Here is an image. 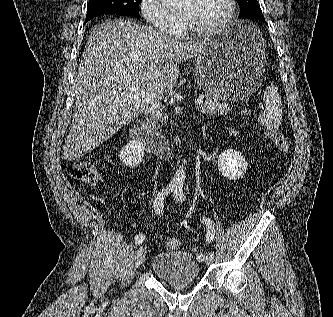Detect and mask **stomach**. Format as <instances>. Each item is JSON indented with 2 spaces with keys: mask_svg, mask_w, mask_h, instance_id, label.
<instances>
[{
  "mask_svg": "<svg viewBox=\"0 0 333 317\" xmlns=\"http://www.w3.org/2000/svg\"><path fill=\"white\" fill-rule=\"evenodd\" d=\"M265 47L256 24L233 23L210 35L196 60L198 84L228 102L262 95Z\"/></svg>",
  "mask_w": 333,
  "mask_h": 317,
  "instance_id": "1",
  "label": "stomach"
}]
</instances>
